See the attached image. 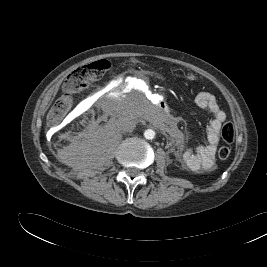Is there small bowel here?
Masks as SVG:
<instances>
[{
  "instance_id": "small-bowel-1",
  "label": "small bowel",
  "mask_w": 267,
  "mask_h": 267,
  "mask_svg": "<svg viewBox=\"0 0 267 267\" xmlns=\"http://www.w3.org/2000/svg\"><path fill=\"white\" fill-rule=\"evenodd\" d=\"M197 107L207 111L213 119L207 127V144L193 150H185L180 154L181 161L186 167L195 172L210 170L215 165V153L220 140L226 113L221 109L216 97L207 91H200L194 98Z\"/></svg>"
}]
</instances>
